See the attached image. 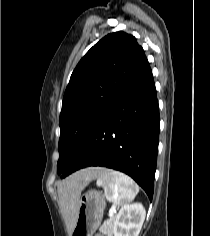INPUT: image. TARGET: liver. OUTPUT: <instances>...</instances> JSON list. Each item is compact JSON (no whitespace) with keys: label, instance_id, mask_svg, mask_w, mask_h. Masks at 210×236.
Instances as JSON below:
<instances>
[{"label":"liver","instance_id":"6515ba94","mask_svg":"<svg viewBox=\"0 0 210 236\" xmlns=\"http://www.w3.org/2000/svg\"><path fill=\"white\" fill-rule=\"evenodd\" d=\"M105 171L100 167H90L80 170L58 185L59 204L69 230L72 233L77 217L82 190L94 179Z\"/></svg>","mask_w":210,"mask_h":236}]
</instances>
